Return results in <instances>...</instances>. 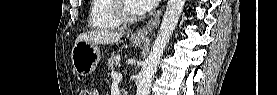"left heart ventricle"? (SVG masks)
<instances>
[{"mask_svg": "<svg viewBox=\"0 0 277 95\" xmlns=\"http://www.w3.org/2000/svg\"><path fill=\"white\" fill-rule=\"evenodd\" d=\"M141 11L137 1H127L125 4V12L129 15H136Z\"/></svg>", "mask_w": 277, "mask_h": 95, "instance_id": "b2bd125f", "label": "left heart ventricle"}]
</instances>
